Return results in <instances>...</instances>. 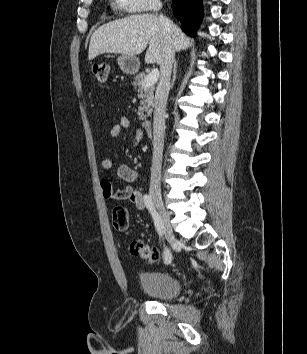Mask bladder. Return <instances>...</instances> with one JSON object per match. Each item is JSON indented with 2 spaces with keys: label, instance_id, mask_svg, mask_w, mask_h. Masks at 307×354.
I'll use <instances>...</instances> for the list:
<instances>
[{
  "label": "bladder",
  "instance_id": "obj_1",
  "mask_svg": "<svg viewBox=\"0 0 307 354\" xmlns=\"http://www.w3.org/2000/svg\"><path fill=\"white\" fill-rule=\"evenodd\" d=\"M139 280L144 292L155 299L170 300L177 297L181 290V281L174 275L160 271H143Z\"/></svg>",
  "mask_w": 307,
  "mask_h": 354
}]
</instances>
